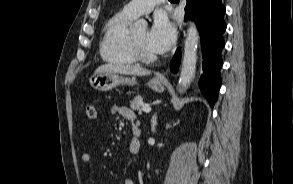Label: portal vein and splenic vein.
<instances>
[{
    "label": "portal vein and splenic vein",
    "instance_id": "1",
    "mask_svg": "<svg viewBox=\"0 0 293 184\" xmlns=\"http://www.w3.org/2000/svg\"><path fill=\"white\" fill-rule=\"evenodd\" d=\"M142 111L144 113H149L151 111V107H148V106L147 107H143Z\"/></svg>",
    "mask_w": 293,
    "mask_h": 184
}]
</instances>
